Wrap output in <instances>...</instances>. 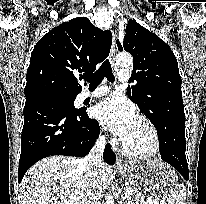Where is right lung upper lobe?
<instances>
[{
    "instance_id": "cb5924a9",
    "label": "right lung upper lobe",
    "mask_w": 206,
    "mask_h": 204,
    "mask_svg": "<svg viewBox=\"0 0 206 204\" xmlns=\"http://www.w3.org/2000/svg\"><path fill=\"white\" fill-rule=\"evenodd\" d=\"M112 34L78 17L50 30L34 46L27 69L25 97L77 95L83 74L96 70L110 52Z\"/></svg>"
}]
</instances>
